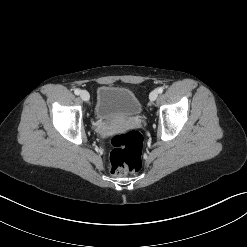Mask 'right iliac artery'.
I'll use <instances>...</instances> for the list:
<instances>
[{"label": "right iliac artery", "instance_id": "obj_1", "mask_svg": "<svg viewBox=\"0 0 247 247\" xmlns=\"http://www.w3.org/2000/svg\"><path fill=\"white\" fill-rule=\"evenodd\" d=\"M74 93H75L76 95H79V94H80V90H79V89H75V90H74Z\"/></svg>", "mask_w": 247, "mask_h": 247}]
</instances>
